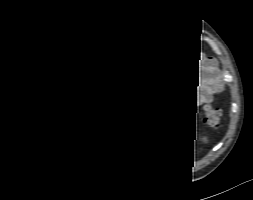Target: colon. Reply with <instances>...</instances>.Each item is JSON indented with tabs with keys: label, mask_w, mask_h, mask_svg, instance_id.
<instances>
[{
	"label": "colon",
	"mask_w": 253,
	"mask_h": 200,
	"mask_svg": "<svg viewBox=\"0 0 253 200\" xmlns=\"http://www.w3.org/2000/svg\"><path fill=\"white\" fill-rule=\"evenodd\" d=\"M180 43L175 38H103L99 44L100 52L135 53L152 56H166L175 53ZM69 67L77 83L86 86L92 76L90 67L81 52H76L70 59ZM221 119V110L207 104L204 106V123L209 127H216Z\"/></svg>",
	"instance_id": "colon-1"
}]
</instances>
